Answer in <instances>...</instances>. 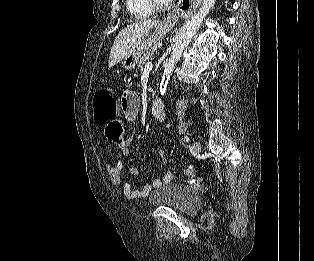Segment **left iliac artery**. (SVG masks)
Listing matches in <instances>:
<instances>
[{"label":"left iliac artery","instance_id":"44dca946","mask_svg":"<svg viewBox=\"0 0 314 261\" xmlns=\"http://www.w3.org/2000/svg\"><path fill=\"white\" fill-rule=\"evenodd\" d=\"M184 140H185L186 142H188L190 139H189L188 136H185Z\"/></svg>","mask_w":314,"mask_h":261}]
</instances>
